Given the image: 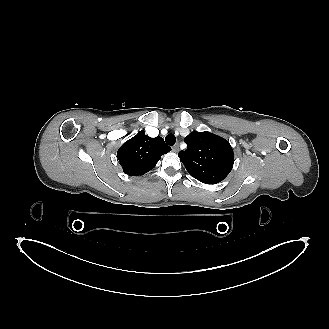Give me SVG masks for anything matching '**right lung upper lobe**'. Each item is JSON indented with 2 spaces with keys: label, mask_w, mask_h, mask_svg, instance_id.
I'll use <instances>...</instances> for the list:
<instances>
[{
  "label": "right lung upper lobe",
  "mask_w": 329,
  "mask_h": 329,
  "mask_svg": "<svg viewBox=\"0 0 329 329\" xmlns=\"http://www.w3.org/2000/svg\"><path fill=\"white\" fill-rule=\"evenodd\" d=\"M170 150L160 136L150 138L140 131L118 149L117 158L124 173L138 176L150 171Z\"/></svg>",
  "instance_id": "right-lung-upper-lobe-1"
}]
</instances>
